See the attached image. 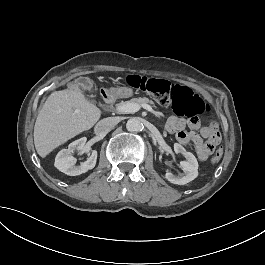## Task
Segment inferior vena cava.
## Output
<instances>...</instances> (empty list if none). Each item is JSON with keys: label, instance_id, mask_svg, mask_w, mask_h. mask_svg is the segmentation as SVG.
Segmentation results:
<instances>
[{"label": "inferior vena cava", "instance_id": "obj_1", "mask_svg": "<svg viewBox=\"0 0 265 265\" xmlns=\"http://www.w3.org/2000/svg\"><path fill=\"white\" fill-rule=\"evenodd\" d=\"M116 125V121L112 117L104 118L100 120L95 128L94 132L98 136H105L109 131H111Z\"/></svg>", "mask_w": 265, "mask_h": 265}]
</instances>
